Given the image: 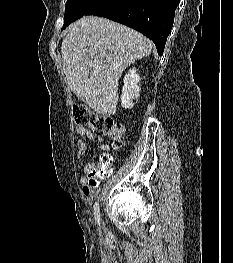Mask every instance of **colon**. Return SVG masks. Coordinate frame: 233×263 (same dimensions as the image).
<instances>
[{
  "label": "colon",
  "mask_w": 233,
  "mask_h": 263,
  "mask_svg": "<svg viewBox=\"0 0 233 263\" xmlns=\"http://www.w3.org/2000/svg\"><path fill=\"white\" fill-rule=\"evenodd\" d=\"M75 123L80 127H89L97 135H108L113 143V148L118 149L123 145L124 126L110 117L98 116L83 106H75L73 110ZM112 167V157L103 154L94 164L88 175L90 189H99V180H108Z\"/></svg>",
  "instance_id": "obj_1"
}]
</instances>
